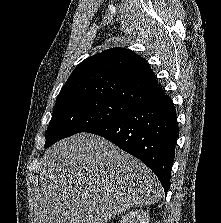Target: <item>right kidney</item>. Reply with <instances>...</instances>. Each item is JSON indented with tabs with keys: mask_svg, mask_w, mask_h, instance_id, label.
Returning a JSON list of instances; mask_svg holds the SVG:
<instances>
[{
	"mask_svg": "<svg viewBox=\"0 0 221 223\" xmlns=\"http://www.w3.org/2000/svg\"><path fill=\"white\" fill-rule=\"evenodd\" d=\"M120 223H149V214L143 210H135L127 213Z\"/></svg>",
	"mask_w": 221,
	"mask_h": 223,
	"instance_id": "ca27d5eb",
	"label": "right kidney"
}]
</instances>
